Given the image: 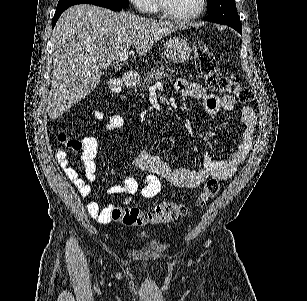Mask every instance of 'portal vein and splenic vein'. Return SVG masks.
<instances>
[{"instance_id":"18ae733b","label":"portal vein and splenic vein","mask_w":307,"mask_h":301,"mask_svg":"<svg viewBox=\"0 0 307 301\" xmlns=\"http://www.w3.org/2000/svg\"><path fill=\"white\" fill-rule=\"evenodd\" d=\"M129 54H130L129 50H124V52H121V54H119L121 62H125V60H127L128 56H129ZM157 84H158V82H155V84H153V86H157Z\"/></svg>"}]
</instances>
